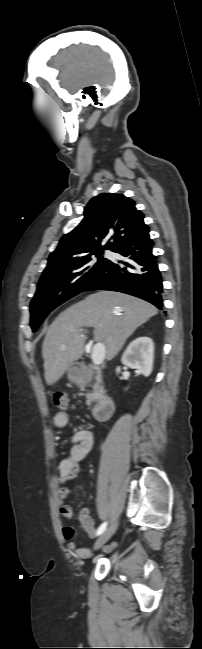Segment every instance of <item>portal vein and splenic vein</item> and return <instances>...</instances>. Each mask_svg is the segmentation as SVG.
<instances>
[{"label": "portal vein and splenic vein", "mask_w": 202, "mask_h": 649, "mask_svg": "<svg viewBox=\"0 0 202 649\" xmlns=\"http://www.w3.org/2000/svg\"><path fill=\"white\" fill-rule=\"evenodd\" d=\"M92 361L94 365H100L105 358V347L101 342H97L92 350Z\"/></svg>", "instance_id": "portal-vein-and-splenic-vein-1"}]
</instances>
